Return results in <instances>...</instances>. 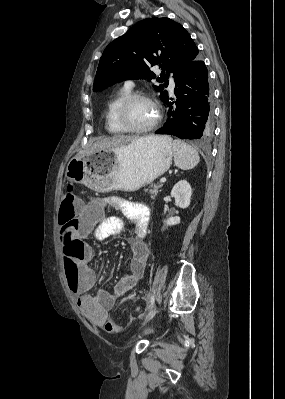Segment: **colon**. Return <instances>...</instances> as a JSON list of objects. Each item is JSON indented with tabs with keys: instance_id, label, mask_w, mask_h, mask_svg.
<instances>
[{
	"instance_id": "colon-1",
	"label": "colon",
	"mask_w": 285,
	"mask_h": 399,
	"mask_svg": "<svg viewBox=\"0 0 285 399\" xmlns=\"http://www.w3.org/2000/svg\"><path fill=\"white\" fill-rule=\"evenodd\" d=\"M80 205L81 203L77 195L74 193L73 185H69L68 192L65 194L61 202L59 222L73 237H76L79 225L77 222H73L72 220L75 217L76 209L79 208ZM84 257L85 251L78 243L73 244L65 253L64 269L68 279L75 280L80 274Z\"/></svg>"
}]
</instances>
